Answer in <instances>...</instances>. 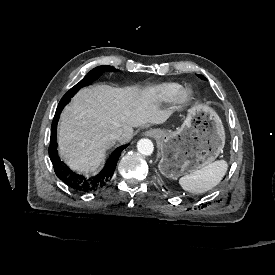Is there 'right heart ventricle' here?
I'll list each match as a JSON object with an SVG mask.
<instances>
[{
	"label": "right heart ventricle",
	"mask_w": 275,
	"mask_h": 275,
	"mask_svg": "<svg viewBox=\"0 0 275 275\" xmlns=\"http://www.w3.org/2000/svg\"><path fill=\"white\" fill-rule=\"evenodd\" d=\"M180 90V85L175 83H163L155 86L152 89L153 98L158 101L173 100Z\"/></svg>",
	"instance_id": "obj_1"
}]
</instances>
